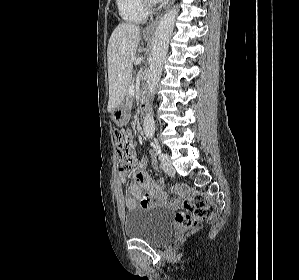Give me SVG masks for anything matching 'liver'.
I'll list each match as a JSON object with an SVG mask.
<instances>
[{"instance_id": "6515ba94", "label": "liver", "mask_w": 299, "mask_h": 280, "mask_svg": "<svg viewBox=\"0 0 299 280\" xmlns=\"http://www.w3.org/2000/svg\"><path fill=\"white\" fill-rule=\"evenodd\" d=\"M141 28L131 23L119 24L111 34L107 49L109 101L113 112L123 101L131 80L133 61L140 41Z\"/></svg>"}]
</instances>
